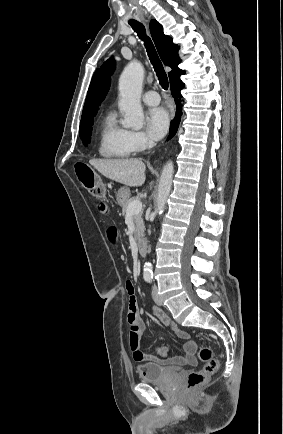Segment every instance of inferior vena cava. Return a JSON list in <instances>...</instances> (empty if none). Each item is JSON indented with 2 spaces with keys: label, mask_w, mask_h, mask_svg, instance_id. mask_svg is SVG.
<instances>
[{
  "label": "inferior vena cava",
  "mask_w": 283,
  "mask_h": 434,
  "mask_svg": "<svg viewBox=\"0 0 283 434\" xmlns=\"http://www.w3.org/2000/svg\"><path fill=\"white\" fill-rule=\"evenodd\" d=\"M153 146H154V142H153V141H149V142H148V147H149V148H152Z\"/></svg>",
  "instance_id": "1"
}]
</instances>
